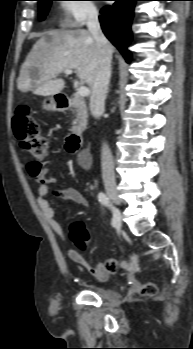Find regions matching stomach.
Here are the masks:
<instances>
[{
	"instance_id": "obj_1",
	"label": "stomach",
	"mask_w": 193,
	"mask_h": 349,
	"mask_svg": "<svg viewBox=\"0 0 193 349\" xmlns=\"http://www.w3.org/2000/svg\"><path fill=\"white\" fill-rule=\"evenodd\" d=\"M43 108L48 111H56L58 108V104L55 98L53 96L46 98L43 102Z\"/></svg>"
}]
</instances>
